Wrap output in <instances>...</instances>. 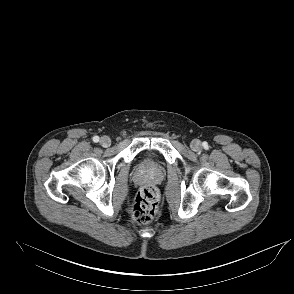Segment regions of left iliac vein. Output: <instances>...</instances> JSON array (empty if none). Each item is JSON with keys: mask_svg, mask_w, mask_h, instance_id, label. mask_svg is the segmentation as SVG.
<instances>
[{"mask_svg": "<svg viewBox=\"0 0 294 294\" xmlns=\"http://www.w3.org/2000/svg\"><path fill=\"white\" fill-rule=\"evenodd\" d=\"M191 148L195 152L200 151L202 149L201 142L199 140H193L191 143Z\"/></svg>", "mask_w": 294, "mask_h": 294, "instance_id": "4c4485c4", "label": "left iliac vein"}]
</instances>
